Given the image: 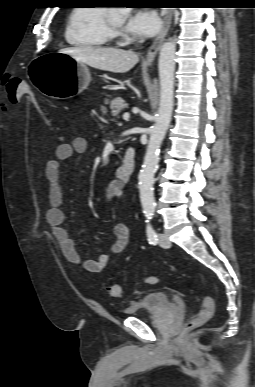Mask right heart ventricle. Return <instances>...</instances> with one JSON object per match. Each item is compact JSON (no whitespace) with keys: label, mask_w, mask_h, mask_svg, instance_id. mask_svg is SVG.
<instances>
[{"label":"right heart ventricle","mask_w":255,"mask_h":387,"mask_svg":"<svg viewBox=\"0 0 255 387\" xmlns=\"http://www.w3.org/2000/svg\"><path fill=\"white\" fill-rule=\"evenodd\" d=\"M106 12V9L95 6L74 8L66 23V41L81 48H97L108 45L111 37L105 26Z\"/></svg>","instance_id":"obj_1"}]
</instances>
